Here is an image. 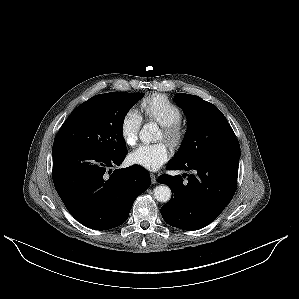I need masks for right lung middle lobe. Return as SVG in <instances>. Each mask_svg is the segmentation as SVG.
<instances>
[{"mask_svg":"<svg viewBox=\"0 0 299 299\" xmlns=\"http://www.w3.org/2000/svg\"><path fill=\"white\" fill-rule=\"evenodd\" d=\"M143 96L111 92L90 98L69 115L53 145L69 144L110 156L126 152L124 118Z\"/></svg>","mask_w":299,"mask_h":299,"instance_id":"obj_1","label":"right lung middle lobe"}]
</instances>
